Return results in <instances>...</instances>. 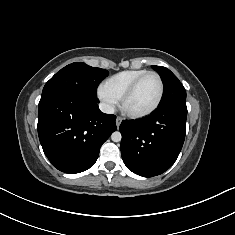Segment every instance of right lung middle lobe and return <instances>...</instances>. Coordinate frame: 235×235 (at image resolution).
<instances>
[{"mask_svg": "<svg viewBox=\"0 0 235 235\" xmlns=\"http://www.w3.org/2000/svg\"><path fill=\"white\" fill-rule=\"evenodd\" d=\"M108 71L82 62L67 65L56 73L44 86L42 96L63 91L96 98L97 86Z\"/></svg>", "mask_w": 235, "mask_h": 235, "instance_id": "obj_1", "label": "right lung middle lobe"}]
</instances>
